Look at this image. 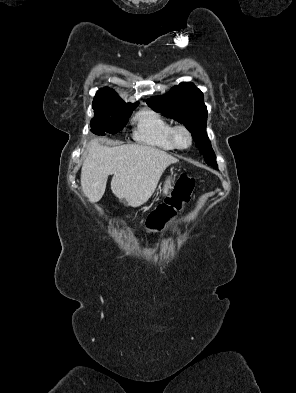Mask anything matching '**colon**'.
Returning a JSON list of instances; mask_svg holds the SVG:
<instances>
[{
	"instance_id": "1",
	"label": "colon",
	"mask_w": 296,
	"mask_h": 393,
	"mask_svg": "<svg viewBox=\"0 0 296 393\" xmlns=\"http://www.w3.org/2000/svg\"><path fill=\"white\" fill-rule=\"evenodd\" d=\"M194 185L193 178L186 174L179 175L171 194L149 214L146 220V228L151 232L160 231L172 221L177 212L189 200Z\"/></svg>"
}]
</instances>
